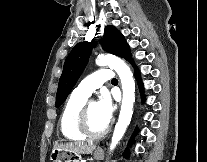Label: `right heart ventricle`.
<instances>
[{
  "mask_svg": "<svg viewBox=\"0 0 207 162\" xmlns=\"http://www.w3.org/2000/svg\"><path fill=\"white\" fill-rule=\"evenodd\" d=\"M87 98L73 91L63 107L59 120V129L62 135L69 140H85V136L77 129V117Z\"/></svg>",
  "mask_w": 207,
  "mask_h": 162,
  "instance_id": "1",
  "label": "right heart ventricle"
}]
</instances>
